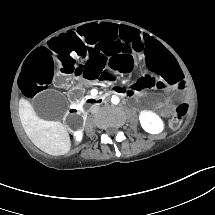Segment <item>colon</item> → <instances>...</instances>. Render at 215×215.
Masks as SVG:
<instances>
[{
	"label": "colon",
	"mask_w": 215,
	"mask_h": 215,
	"mask_svg": "<svg viewBox=\"0 0 215 215\" xmlns=\"http://www.w3.org/2000/svg\"><path fill=\"white\" fill-rule=\"evenodd\" d=\"M188 109H189V106L186 103L179 104L176 107L170 122L172 128H178L181 125L183 118L188 112Z\"/></svg>",
	"instance_id": "colon-1"
}]
</instances>
